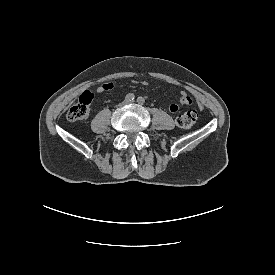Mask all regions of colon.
<instances>
[{
  "instance_id": "1",
  "label": "colon",
  "mask_w": 275,
  "mask_h": 275,
  "mask_svg": "<svg viewBox=\"0 0 275 275\" xmlns=\"http://www.w3.org/2000/svg\"><path fill=\"white\" fill-rule=\"evenodd\" d=\"M93 100V93L91 91H85L80 96L78 101L70 106L67 110V119L72 122H78L84 120L89 112V105ZM197 121V115L194 111H187L179 115L176 119V123L183 129L192 128Z\"/></svg>"
}]
</instances>
